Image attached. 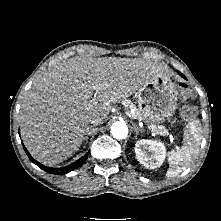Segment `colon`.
I'll return each instance as SVG.
<instances>
[{"label":"colon","instance_id":"obj_1","mask_svg":"<svg viewBox=\"0 0 221 221\" xmlns=\"http://www.w3.org/2000/svg\"><path fill=\"white\" fill-rule=\"evenodd\" d=\"M181 96L184 100H188L191 97L190 90L187 88H184L181 92ZM195 114H196V110L193 107H183L181 110V116L185 121L193 118Z\"/></svg>","mask_w":221,"mask_h":221}]
</instances>
